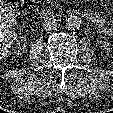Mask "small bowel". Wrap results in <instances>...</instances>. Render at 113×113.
Masks as SVG:
<instances>
[{
    "label": "small bowel",
    "mask_w": 113,
    "mask_h": 113,
    "mask_svg": "<svg viewBox=\"0 0 113 113\" xmlns=\"http://www.w3.org/2000/svg\"><path fill=\"white\" fill-rule=\"evenodd\" d=\"M90 21L99 29H101L105 34L113 36V23L110 24L103 17L98 14H89Z\"/></svg>",
    "instance_id": "obj_1"
}]
</instances>
